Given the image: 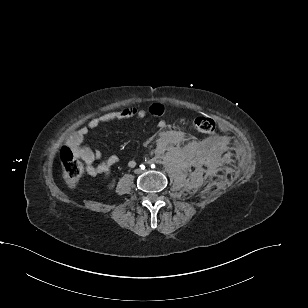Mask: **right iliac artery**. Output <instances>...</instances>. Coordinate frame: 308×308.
Instances as JSON below:
<instances>
[{"label": "right iliac artery", "instance_id": "obj_1", "mask_svg": "<svg viewBox=\"0 0 308 308\" xmlns=\"http://www.w3.org/2000/svg\"><path fill=\"white\" fill-rule=\"evenodd\" d=\"M140 168H141V169H145V166H144V165H140Z\"/></svg>", "mask_w": 308, "mask_h": 308}]
</instances>
